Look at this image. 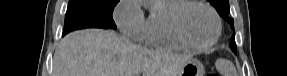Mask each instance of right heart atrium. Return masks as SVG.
Masks as SVG:
<instances>
[{
  "label": "right heart atrium",
  "mask_w": 287,
  "mask_h": 76,
  "mask_svg": "<svg viewBox=\"0 0 287 76\" xmlns=\"http://www.w3.org/2000/svg\"><path fill=\"white\" fill-rule=\"evenodd\" d=\"M113 15L123 35L133 40H142L146 19L141 8V0H120Z\"/></svg>",
  "instance_id": "d8ad5b80"
}]
</instances>
